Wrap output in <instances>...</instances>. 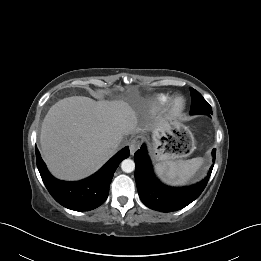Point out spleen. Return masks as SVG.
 I'll return each instance as SVG.
<instances>
[{
    "label": "spleen",
    "instance_id": "obj_1",
    "mask_svg": "<svg viewBox=\"0 0 261 261\" xmlns=\"http://www.w3.org/2000/svg\"><path fill=\"white\" fill-rule=\"evenodd\" d=\"M201 157L190 160L165 161L157 163L155 170L161 179L172 185L185 184L202 165Z\"/></svg>",
    "mask_w": 261,
    "mask_h": 261
}]
</instances>
